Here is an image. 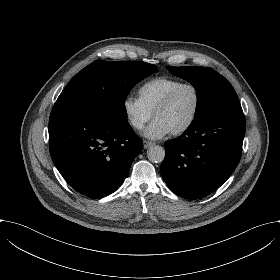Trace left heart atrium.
Segmentation results:
<instances>
[{
  "instance_id": "39dd6f15",
  "label": "left heart atrium",
  "mask_w": 280,
  "mask_h": 280,
  "mask_svg": "<svg viewBox=\"0 0 280 280\" xmlns=\"http://www.w3.org/2000/svg\"><path fill=\"white\" fill-rule=\"evenodd\" d=\"M171 127L162 119L155 118L145 130L144 136L148 139L158 140L172 133Z\"/></svg>"
}]
</instances>
